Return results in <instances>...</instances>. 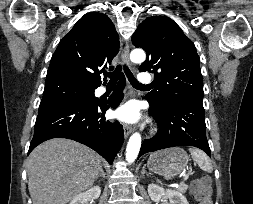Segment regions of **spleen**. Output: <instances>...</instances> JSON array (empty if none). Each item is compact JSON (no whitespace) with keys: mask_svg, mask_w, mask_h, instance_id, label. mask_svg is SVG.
Masks as SVG:
<instances>
[{"mask_svg":"<svg viewBox=\"0 0 253 204\" xmlns=\"http://www.w3.org/2000/svg\"><path fill=\"white\" fill-rule=\"evenodd\" d=\"M189 151L194 162L198 164L203 171H206L208 173H211L213 171L211 161L203 151L195 148H191Z\"/></svg>","mask_w":253,"mask_h":204,"instance_id":"1","label":"spleen"}]
</instances>
